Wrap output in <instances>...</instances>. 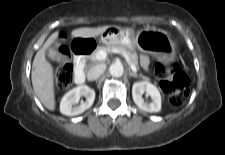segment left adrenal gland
<instances>
[{
  "instance_id": "left-adrenal-gland-1",
  "label": "left adrenal gland",
  "mask_w": 225,
  "mask_h": 155,
  "mask_svg": "<svg viewBox=\"0 0 225 155\" xmlns=\"http://www.w3.org/2000/svg\"><path fill=\"white\" fill-rule=\"evenodd\" d=\"M129 74H130V76H133V77H135V78L138 77V75H137L136 73H133V72H131V71H130Z\"/></svg>"
}]
</instances>
